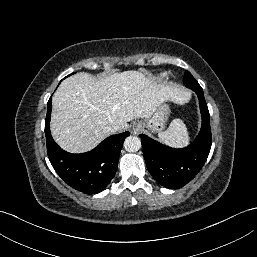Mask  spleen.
<instances>
[{"mask_svg": "<svg viewBox=\"0 0 257 257\" xmlns=\"http://www.w3.org/2000/svg\"><path fill=\"white\" fill-rule=\"evenodd\" d=\"M159 139L169 146L183 147L189 143L190 138L183 121L175 119L166 131L159 134Z\"/></svg>", "mask_w": 257, "mask_h": 257, "instance_id": "spleen-1", "label": "spleen"}]
</instances>
